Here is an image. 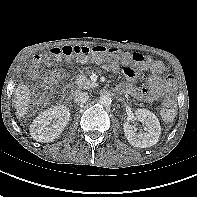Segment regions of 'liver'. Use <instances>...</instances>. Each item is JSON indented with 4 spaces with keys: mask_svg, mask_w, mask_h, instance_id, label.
Listing matches in <instances>:
<instances>
[{
    "mask_svg": "<svg viewBox=\"0 0 197 197\" xmlns=\"http://www.w3.org/2000/svg\"><path fill=\"white\" fill-rule=\"evenodd\" d=\"M13 102L16 116L18 118L24 117L28 113L31 102L29 88L24 83H19L17 88H15Z\"/></svg>",
    "mask_w": 197,
    "mask_h": 197,
    "instance_id": "6515ba94",
    "label": "liver"
}]
</instances>
